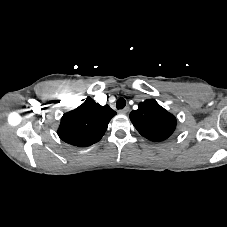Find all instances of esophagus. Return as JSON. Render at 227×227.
I'll return each mask as SVG.
<instances>
[{
    "label": "esophagus",
    "instance_id": "obj_1",
    "mask_svg": "<svg viewBox=\"0 0 227 227\" xmlns=\"http://www.w3.org/2000/svg\"><path fill=\"white\" fill-rule=\"evenodd\" d=\"M128 112H129V107L128 106L123 108V109H121V110H119L120 114H127Z\"/></svg>",
    "mask_w": 227,
    "mask_h": 227
}]
</instances>
